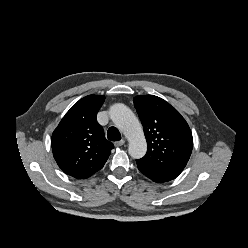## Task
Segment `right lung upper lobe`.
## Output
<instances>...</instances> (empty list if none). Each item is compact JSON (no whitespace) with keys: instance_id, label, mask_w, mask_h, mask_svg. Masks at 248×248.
Returning <instances> with one entry per match:
<instances>
[{"instance_id":"obj_1","label":"right lung upper lobe","mask_w":248,"mask_h":248,"mask_svg":"<svg viewBox=\"0 0 248 248\" xmlns=\"http://www.w3.org/2000/svg\"><path fill=\"white\" fill-rule=\"evenodd\" d=\"M104 100L102 95L80 99L52 134L54 159L64 173L74 178L85 179L99 171L114 147L96 120Z\"/></svg>"}]
</instances>
